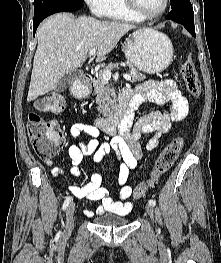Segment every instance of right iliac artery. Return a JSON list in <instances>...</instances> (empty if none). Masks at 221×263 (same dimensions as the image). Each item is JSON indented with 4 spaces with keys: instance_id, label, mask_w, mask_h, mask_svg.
<instances>
[{
    "instance_id": "right-iliac-artery-1",
    "label": "right iliac artery",
    "mask_w": 221,
    "mask_h": 263,
    "mask_svg": "<svg viewBox=\"0 0 221 263\" xmlns=\"http://www.w3.org/2000/svg\"><path fill=\"white\" fill-rule=\"evenodd\" d=\"M72 198L69 196L65 199L64 203H63V206H62V209L63 210H66V208L68 207V205L70 204Z\"/></svg>"
}]
</instances>
